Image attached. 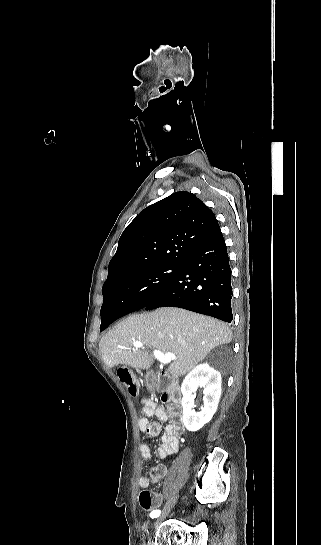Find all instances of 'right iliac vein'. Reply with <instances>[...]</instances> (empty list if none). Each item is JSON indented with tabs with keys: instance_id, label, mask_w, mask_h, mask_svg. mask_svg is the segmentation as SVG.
I'll list each match as a JSON object with an SVG mask.
<instances>
[{
	"instance_id": "63e3f726",
	"label": "right iliac vein",
	"mask_w": 321,
	"mask_h": 545,
	"mask_svg": "<svg viewBox=\"0 0 321 545\" xmlns=\"http://www.w3.org/2000/svg\"><path fill=\"white\" fill-rule=\"evenodd\" d=\"M178 498V495L177 494H173L171 496V498L169 499V501L167 502L166 506L163 508V512L162 514L157 518L156 522H155V525H158L161 521H163L166 516L168 515L170 509L172 508V506L175 504L176 500Z\"/></svg>"
}]
</instances>
